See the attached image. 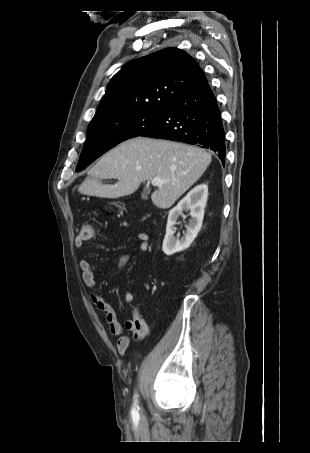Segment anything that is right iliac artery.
<instances>
[{"instance_id": "1", "label": "right iliac artery", "mask_w": 310, "mask_h": 453, "mask_svg": "<svg viewBox=\"0 0 310 453\" xmlns=\"http://www.w3.org/2000/svg\"><path fill=\"white\" fill-rule=\"evenodd\" d=\"M136 402H137V401H135L134 407H133V409H132V415H133V416H138V406H137Z\"/></svg>"}]
</instances>
